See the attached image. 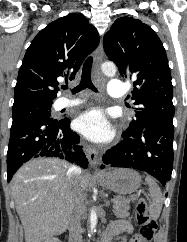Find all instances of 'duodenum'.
<instances>
[{
	"label": "duodenum",
	"instance_id": "obj_1",
	"mask_svg": "<svg viewBox=\"0 0 187 242\" xmlns=\"http://www.w3.org/2000/svg\"><path fill=\"white\" fill-rule=\"evenodd\" d=\"M111 236L110 235H105L103 236V241L102 242H110L111 241Z\"/></svg>",
	"mask_w": 187,
	"mask_h": 242
}]
</instances>
